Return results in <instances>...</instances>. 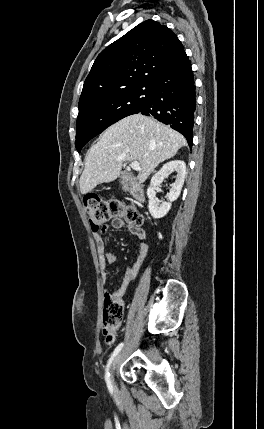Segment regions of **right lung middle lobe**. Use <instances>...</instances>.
<instances>
[{"mask_svg":"<svg viewBox=\"0 0 264 429\" xmlns=\"http://www.w3.org/2000/svg\"><path fill=\"white\" fill-rule=\"evenodd\" d=\"M154 84H137L79 106L76 123L78 152L96 135L118 120L139 113L153 92Z\"/></svg>","mask_w":264,"mask_h":429,"instance_id":"dd1d6c3e","label":"right lung middle lobe"}]
</instances>
